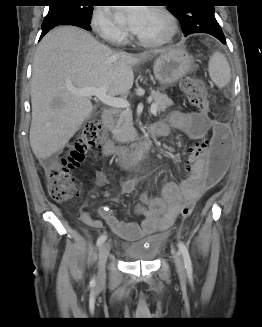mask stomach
<instances>
[{
	"label": "stomach",
	"mask_w": 262,
	"mask_h": 327,
	"mask_svg": "<svg viewBox=\"0 0 262 327\" xmlns=\"http://www.w3.org/2000/svg\"><path fill=\"white\" fill-rule=\"evenodd\" d=\"M193 59L183 48L164 51L154 62L153 72L162 88H167L192 70Z\"/></svg>",
	"instance_id": "0dacf381"
}]
</instances>
